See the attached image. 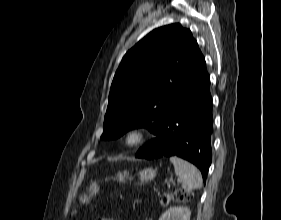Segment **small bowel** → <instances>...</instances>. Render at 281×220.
<instances>
[{
	"mask_svg": "<svg viewBox=\"0 0 281 220\" xmlns=\"http://www.w3.org/2000/svg\"><path fill=\"white\" fill-rule=\"evenodd\" d=\"M101 220H110V219H105V218H104V219H101Z\"/></svg>",
	"mask_w": 281,
	"mask_h": 220,
	"instance_id": "c3829d8e",
	"label": "small bowel"
}]
</instances>
